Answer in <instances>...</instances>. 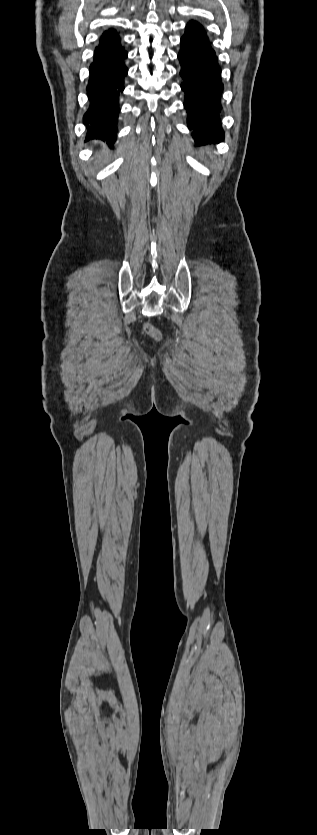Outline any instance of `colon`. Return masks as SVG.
I'll return each mask as SVG.
<instances>
[{
	"mask_svg": "<svg viewBox=\"0 0 317 835\" xmlns=\"http://www.w3.org/2000/svg\"><path fill=\"white\" fill-rule=\"evenodd\" d=\"M144 330L149 336H151L152 338H154L156 340L161 338L160 331L157 328H155L153 325H151L150 323H146L144 325Z\"/></svg>",
	"mask_w": 317,
	"mask_h": 835,
	"instance_id": "obj_1",
	"label": "colon"
}]
</instances>
